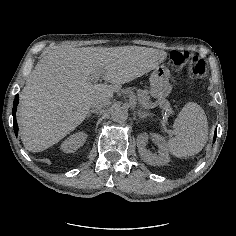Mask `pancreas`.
Masks as SVG:
<instances>
[{"mask_svg":"<svg viewBox=\"0 0 236 236\" xmlns=\"http://www.w3.org/2000/svg\"><path fill=\"white\" fill-rule=\"evenodd\" d=\"M125 94L126 95H131L132 94V89L131 88H126L125 89ZM116 97L117 98H122L123 97V92L122 91H117L116 92ZM144 107L151 108V105L150 104H145Z\"/></svg>","mask_w":236,"mask_h":236,"instance_id":"1","label":"pancreas"}]
</instances>
